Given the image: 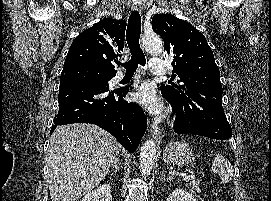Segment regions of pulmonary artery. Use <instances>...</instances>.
<instances>
[{"label":"pulmonary artery","mask_w":271,"mask_h":201,"mask_svg":"<svg viewBox=\"0 0 271 201\" xmlns=\"http://www.w3.org/2000/svg\"><path fill=\"white\" fill-rule=\"evenodd\" d=\"M150 72L154 75H165L166 74V63L161 58L153 57L150 61ZM122 79V75L118 74L115 77V81H120Z\"/></svg>","instance_id":"obj_1"}]
</instances>
